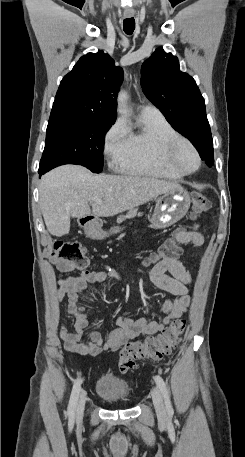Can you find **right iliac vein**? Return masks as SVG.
I'll list each match as a JSON object with an SVG mask.
<instances>
[{"instance_id": "63e3f726", "label": "right iliac vein", "mask_w": 245, "mask_h": 457, "mask_svg": "<svg viewBox=\"0 0 245 457\" xmlns=\"http://www.w3.org/2000/svg\"><path fill=\"white\" fill-rule=\"evenodd\" d=\"M85 401H86L85 395L82 394L80 396V399H79V401L77 403V408H76V419L77 420H81L82 417H83Z\"/></svg>"}]
</instances>
